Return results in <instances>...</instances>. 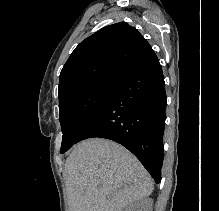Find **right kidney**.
<instances>
[{
    "instance_id": "1",
    "label": "right kidney",
    "mask_w": 219,
    "mask_h": 211,
    "mask_svg": "<svg viewBox=\"0 0 219 211\" xmlns=\"http://www.w3.org/2000/svg\"><path fill=\"white\" fill-rule=\"evenodd\" d=\"M153 199L151 197H141V199H136L132 201L126 211H152Z\"/></svg>"
}]
</instances>
